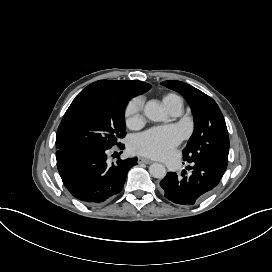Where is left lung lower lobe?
I'll return each instance as SVG.
<instances>
[{
    "label": "left lung lower lobe",
    "mask_w": 272,
    "mask_h": 272,
    "mask_svg": "<svg viewBox=\"0 0 272 272\" xmlns=\"http://www.w3.org/2000/svg\"><path fill=\"white\" fill-rule=\"evenodd\" d=\"M192 175L183 179L169 172L160 182L162 193L171 202L191 206L202 200L218 185L226 169L214 164L193 162Z\"/></svg>",
    "instance_id": "left-lung-lower-lobe-1"
}]
</instances>
